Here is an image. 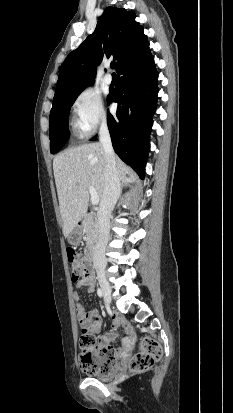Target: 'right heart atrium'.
Masks as SVG:
<instances>
[{
  "mask_svg": "<svg viewBox=\"0 0 233 413\" xmlns=\"http://www.w3.org/2000/svg\"><path fill=\"white\" fill-rule=\"evenodd\" d=\"M76 122L84 135L89 136L107 123V113L101 97L92 90H83L73 102Z\"/></svg>",
  "mask_w": 233,
  "mask_h": 413,
  "instance_id": "1",
  "label": "right heart atrium"
}]
</instances>
